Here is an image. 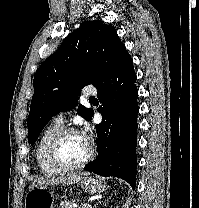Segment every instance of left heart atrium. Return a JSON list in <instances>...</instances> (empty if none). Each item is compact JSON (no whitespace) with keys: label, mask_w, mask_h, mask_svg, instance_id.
Returning a JSON list of instances; mask_svg holds the SVG:
<instances>
[{"label":"left heart atrium","mask_w":199,"mask_h":208,"mask_svg":"<svg viewBox=\"0 0 199 208\" xmlns=\"http://www.w3.org/2000/svg\"><path fill=\"white\" fill-rule=\"evenodd\" d=\"M85 130H87V128H86ZM82 136L84 137V139H85V140H87V137H86V135H82Z\"/></svg>","instance_id":"left-heart-atrium-1"}]
</instances>
